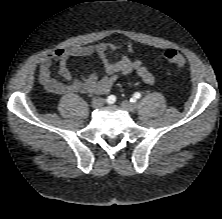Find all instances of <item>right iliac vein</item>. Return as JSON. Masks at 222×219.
Listing matches in <instances>:
<instances>
[{
  "label": "right iliac vein",
  "instance_id": "obj_1",
  "mask_svg": "<svg viewBox=\"0 0 222 219\" xmlns=\"http://www.w3.org/2000/svg\"><path fill=\"white\" fill-rule=\"evenodd\" d=\"M103 104H104V100L101 98L94 99L91 103L92 107H94V108L101 107Z\"/></svg>",
  "mask_w": 222,
  "mask_h": 219
}]
</instances>
